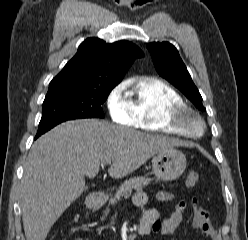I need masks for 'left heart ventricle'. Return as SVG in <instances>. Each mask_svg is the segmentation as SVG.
Returning a JSON list of instances; mask_svg holds the SVG:
<instances>
[{"instance_id":"obj_1","label":"left heart ventricle","mask_w":248,"mask_h":240,"mask_svg":"<svg viewBox=\"0 0 248 240\" xmlns=\"http://www.w3.org/2000/svg\"><path fill=\"white\" fill-rule=\"evenodd\" d=\"M193 128H194L195 131H198V129H199L198 125H196V124L194 125Z\"/></svg>"}]
</instances>
